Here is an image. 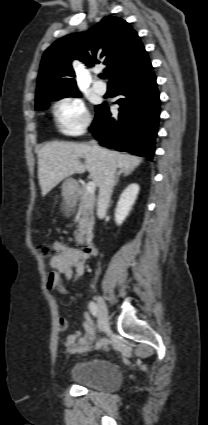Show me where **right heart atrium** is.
<instances>
[{"label":"right heart atrium","instance_id":"d8ad5b80","mask_svg":"<svg viewBox=\"0 0 208 425\" xmlns=\"http://www.w3.org/2000/svg\"><path fill=\"white\" fill-rule=\"evenodd\" d=\"M54 115L58 127L69 135L84 132L91 122L83 101L76 97H65L59 100L54 107Z\"/></svg>","mask_w":208,"mask_h":425}]
</instances>
